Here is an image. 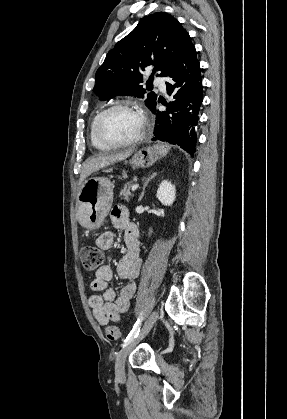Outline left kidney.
I'll return each instance as SVG.
<instances>
[{"mask_svg": "<svg viewBox=\"0 0 287 419\" xmlns=\"http://www.w3.org/2000/svg\"><path fill=\"white\" fill-rule=\"evenodd\" d=\"M156 197L163 205H172L176 197L175 186L168 180L162 181L157 190Z\"/></svg>", "mask_w": 287, "mask_h": 419, "instance_id": "left-kidney-1", "label": "left kidney"}]
</instances>
